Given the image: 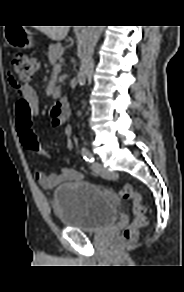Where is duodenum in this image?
Instances as JSON below:
<instances>
[{"label": "duodenum", "instance_id": "duodenum-1", "mask_svg": "<svg viewBox=\"0 0 184 292\" xmlns=\"http://www.w3.org/2000/svg\"><path fill=\"white\" fill-rule=\"evenodd\" d=\"M69 103L66 99H59L52 108V115L58 121H64L69 117Z\"/></svg>", "mask_w": 184, "mask_h": 292}]
</instances>
